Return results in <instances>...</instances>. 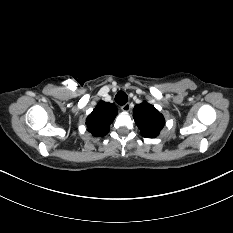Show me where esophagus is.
Wrapping results in <instances>:
<instances>
[{
  "mask_svg": "<svg viewBox=\"0 0 233 233\" xmlns=\"http://www.w3.org/2000/svg\"><path fill=\"white\" fill-rule=\"evenodd\" d=\"M121 109H122V111H124V112H128V111H130V109H131V105H130L129 103H126V104H124L123 106H121Z\"/></svg>",
  "mask_w": 233,
  "mask_h": 233,
  "instance_id": "obj_1",
  "label": "esophagus"
}]
</instances>
